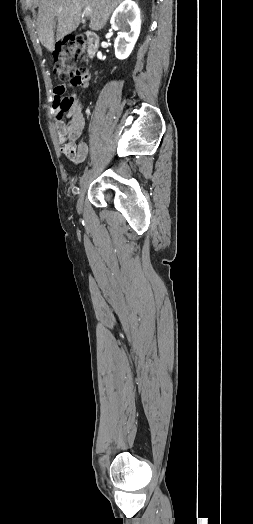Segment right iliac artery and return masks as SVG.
I'll return each instance as SVG.
<instances>
[{
    "instance_id": "82829eb1",
    "label": "right iliac artery",
    "mask_w": 253,
    "mask_h": 524,
    "mask_svg": "<svg viewBox=\"0 0 253 524\" xmlns=\"http://www.w3.org/2000/svg\"><path fill=\"white\" fill-rule=\"evenodd\" d=\"M87 173H88V165L86 166V168L84 170V173H83V175H82V177L80 179V184H81L82 180L85 178V176L87 175Z\"/></svg>"
}]
</instances>
